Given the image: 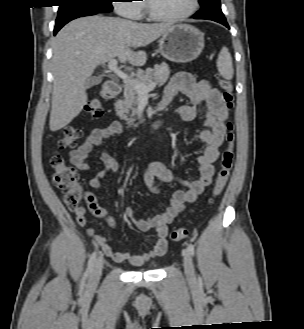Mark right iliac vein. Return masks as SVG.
<instances>
[{"mask_svg": "<svg viewBox=\"0 0 304 329\" xmlns=\"http://www.w3.org/2000/svg\"><path fill=\"white\" fill-rule=\"evenodd\" d=\"M103 268V261L102 258H98L93 266L91 275H90V284L96 285L101 277Z\"/></svg>", "mask_w": 304, "mask_h": 329, "instance_id": "right-iliac-vein-1", "label": "right iliac vein"}]
</instances>
